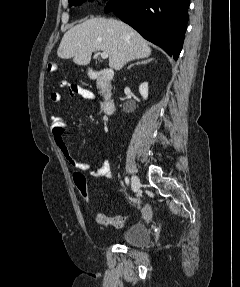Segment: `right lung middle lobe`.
I'll use <instances>...</instances> for the list:
<instances>
[{"label": "right lung middle lobe", "instance_id": "right-lung-middle-lobe-1", "mask_svg": "<svg viewBox=\"0 0 240 287\" xmlns=\"http://www.w3.org/2000/svg\"><path fill=\"white\" fill-rule=\"evenodd\" d=\"M86 0H69V4L72 6V5H80L82 4L83 2H85Z\"/></svg>", "mask_w": 240, "mask_h": 287}]
</instances>
